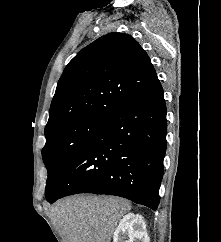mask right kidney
<instances>
[{"label":"right kidney","mask_w":221,"mask_h":242,"mask_svg":"<svg viewBox=\"0 0 221 242\" xmlns=\"http://www.w3.org/2000/svg\"><path fill=\"white\" fill-rule=\"evenodd\" d=\"M128 237V240L126 239ZM150 242L146 224L141 215L128 213L119 222L113 235V242Z\"/></svg>","instance_id":"1"}]
</instances>
